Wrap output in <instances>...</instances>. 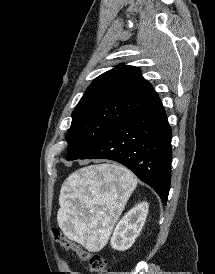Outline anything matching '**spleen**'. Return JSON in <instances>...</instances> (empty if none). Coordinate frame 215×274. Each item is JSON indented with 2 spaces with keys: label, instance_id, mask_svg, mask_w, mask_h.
Here are the masks:
<instances>
[{
  "label": "spleen",
  "instance_id": "1",
  "mask_svg": "<svg viewBox=\"0 0 215 274\" xmlns=\"http://www.w3.org/2000/svg\"><path fill=\"white\" fill-rule=\"evenodd\" d=\"M136 186L133 173L118 165L75 171L61 187L59 226L67 237L86 247L106 242Z\"/></svg>",
  "mask_w": 215,
  "mask_h": 274
}]
</instances>
